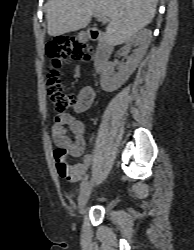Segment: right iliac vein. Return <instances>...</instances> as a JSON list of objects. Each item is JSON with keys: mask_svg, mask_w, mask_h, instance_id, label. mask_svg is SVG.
I'll return each mask as SVG.
<instances>
[{"mask_svg": "<svg viewBox=\"0 0 194 250\" xmlns=\"http://www.w3.org/2000/svg\"><path fill=\"white\" fill-rule=\"evenodd\" d=\"M92 187H93V181H90L86 184V186L81 191L79 199H78V205H79L80 210L84 209V207L88 201V198L90 196Z\"/></svg>", "mask_w": 194, "mask_h": 250, "instance_id": "1", "label": "right iliac vein"}]
</instances>
